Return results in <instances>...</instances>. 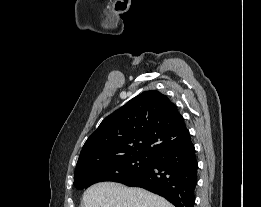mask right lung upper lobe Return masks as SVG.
Segmentation results:
<instances>
[{"label":"right lung upper lobe","instance_id":"1","mask_svg":"<svg viewBox=\"0 0 261 207\" xmlns=\"http://www.w3.org/2000/svg\"><path fill=\"white\" fill-rule=\"evenodd\" d=\"M189 140L177 107L160 92L146 91L101 122L85 142L76 169L125 155L153 157Z\"/></svg>","mask_w":261,"mask_h":207}]
</instances>
